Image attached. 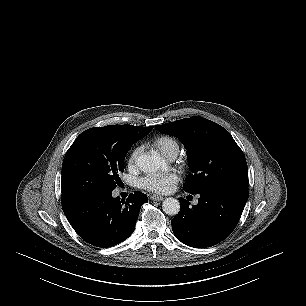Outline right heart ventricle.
<instances>
[{
	"instance_id": "1",
	"label": "right heart ventricle",
	"mask_w": 306,
	"mask_h": 306,
	"mask_svg": "<svg viewBox=\"0 0 306 306\" xmlns=\"http://www.w3.org/2000/svg\"><path fill=\"white\" fill-rule=\"evenodd\" d=\"M152 146L164 157L171 159L175 158L179 152L178 141L171 136L163 135L153 140Z\"/></svg>"
}]
</instances>
